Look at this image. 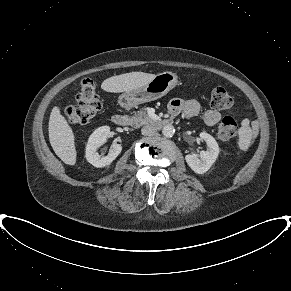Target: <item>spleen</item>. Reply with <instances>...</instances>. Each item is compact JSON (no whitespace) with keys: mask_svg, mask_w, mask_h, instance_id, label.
Returning <instances> with one entry per match:
<instances>
[{"mask_svg":"<svg viewBox=\"0 0 291 291\" xmlns=\"http://www.w3.org/2000/svg\"><path fill=\"white\" fill-rule=\"evenodd\" d=\"M249 129L248 123L244 122L240 132L239 147L241 150H246L250 145V137L246 134Z\"/></svg>","mask_w":291,"mask_h":291,"instance_id":"3e777b00","label":"spleen"}]
</instances>
